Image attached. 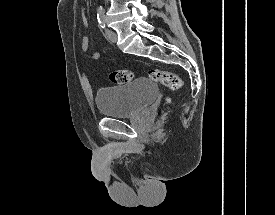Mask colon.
Wrapping results in <instances>:
<instances>
[{"mask_svg":"<svg viewBox=\"0 0 275 215\" xmlns=\"http://www.w3.org/2000/svg\"><path fill=\"white\" fill-rule=\"evenodd\" d=\"M109 77L112 83L121 85L129 82L133 78V73L129 70H114L110 73ZM149 78L171 90H178L182 87L181 78L168 70L151 69L149 71Z\"/></svg>","mask_w":275,"mask_h":215,"instance_id":"obj_1","label":"colon"}]
</instances>
